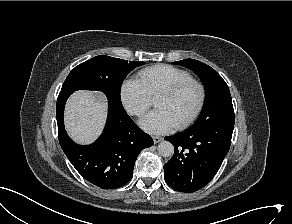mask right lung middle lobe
Segmentation results:
<instances>
[{"instance_id":"right-lung-middle-lobe-1","label":"right lung middle lobe","mask_w":292,"mask_h":224,"mask_svg":"<svg viewBox=\"0 0 292 224\" xmlns=\"http://www.w3.org/2000/svg\"><path fill=\"white\" fill-rule=\"evenodd\" d=\"M145 64L109 56H96L76 66L67 76L60 92L76 90L102 91L108 101L122 105L120 91L125 77Z\"/></svg>"}]
</instances>
